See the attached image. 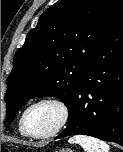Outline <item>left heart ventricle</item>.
<instances>
[{
	"instance_id": "obj_1",
	"label": "left heart ventricle",
	"mask_w": 123,
	"mask_h": 152,
	"mask_svg": "<svg viewBox=\"0 0 123 152\" xmlns=\"http://www.w3.org/2000/svg\"><path fill=\"white\" fill-rule=\"evenodd\" d=\"M60 110L57 106L44 103L33 107L26 118V125L34 134H45L53 130L60 121Z\"/></svg>"
}]
</instances>
